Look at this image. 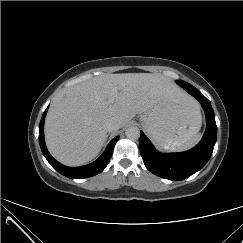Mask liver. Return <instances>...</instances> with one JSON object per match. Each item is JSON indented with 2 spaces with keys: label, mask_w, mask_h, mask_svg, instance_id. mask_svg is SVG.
<instances>
[{
  "label": "liver",
  "mask_w": 243,
  "mask_h": 243,
  "mask_svg": "<svg viewBox=\"0 0 243 243\" xmlns=\"http://www.w3.org/2000/svg\"><path fill=\"white\" fill-rule=\"evenodd\" d=\"M117 91L114 104L107 100ZM191 99L171 79L159 73L104 74L65 88L53 99L45 121L48 150L59 162L78 166L94 159L107 139L105 123L120 127L162 100Z\"/></svg>",
  "instance_id": "liver-1"
}]
</instances>
